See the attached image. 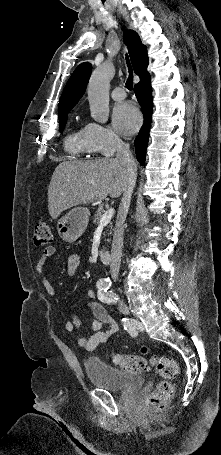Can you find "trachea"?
Instances as JSON below:
<instances>
[{
	"label": "trachea",
	"instance_id": "trachea-1",
	"mask_svg": "<svg viewBox=\"0 0 221 455\" xmlns=\"http://www.w3.org/2000/svg\"><path fill=\"white\" fill-rule=\"evenodd\" d=\"M126 61H127V65H128V68H129V77L126 81V88L128 90H132L133 89V71H132V68H131V65H130V61H129V57L128 55H126Z\"/></svg>",
	"mask_w": 221,
	"mask_h": 455
}]
</instances>
